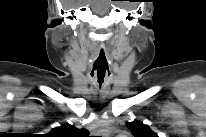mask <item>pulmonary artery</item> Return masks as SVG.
<instances>
[{"mask_svg":"<svg viewBox=\"0 0 206 137\" xmlns=\"http://www.w3.org/2000/svg\"><path fill=\"white\" fill-rule=\"evenodd\" d=\"M118 137H124L123 135H119Z\"/></svg>","mask_w":206,"mask_h":137,"instance_id":"1","label":"pulmonary artery"}]
</instances>
